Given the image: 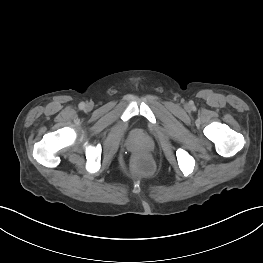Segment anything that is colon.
Returning a JSON list of instances; mask_svg holds the SVG:
<instances>
[{
  "label": "colon",
  "mask_w": 263,
  "mask_h": 263,
  "mask_svg": "<svg viewBox=\"0 0 263 263\" xmlns=\"http://www.w3.org/2000/svg\"><path fill=\"white\" fill-rule=\"evenodd\" d=\"M135 169L140 173H148L152 169L151 163L146 159H138L134 165Z\"/></svg>",
  "instance_id": "5ec220e1"
}]
</instances>
